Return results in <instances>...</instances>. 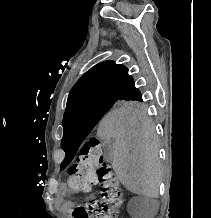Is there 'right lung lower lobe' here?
I'll use <instances>...</instances> for the list:
<instances>
[{
  "instance_id": "1",
  "label": "right lung lower lobe",
  "mask_w": 211,
  "mask_h": 218,
  "mask_svg": "<svg viewBox=\"0 0 211 218\" xmlns=\"http://www.w3.org/2000/svg\"><path fill=\"white\" fill-rule=\"evenodd\" d=\"M121 97L127 98H142L140 91L135 87L134 81H132L127 88L123 91Z\"/></svg>"
}]
</instances>
